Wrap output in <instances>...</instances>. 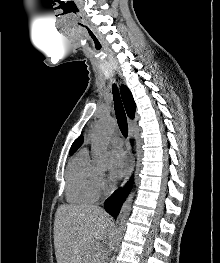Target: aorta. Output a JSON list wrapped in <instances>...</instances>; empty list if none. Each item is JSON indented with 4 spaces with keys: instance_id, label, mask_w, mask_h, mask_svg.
Wrapping results in <instances>:
<instances>
[{
    "instance_id": "obj_1",
    "label": "aorta",
    "mask_w": 220,
    "mask_h": 263,
    "mask_svg": "<svg viewBox=\"0 0 220 263\" xmlns=\"http://www.w3.org/2000/svg\"><path fill=\"white\" fill-rule=\"evenodd\" d=\"M115 128V122L109 117H103L99 120L92 135L93 160L98 168L104 169L107 166V141L109 135ZM133 193H131L120 210L117 218V226L111 240V250H117L122 232L125 229L127 218L130 214Z\"/></svg>"
}]
</instances>
